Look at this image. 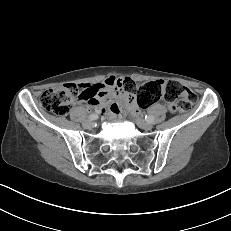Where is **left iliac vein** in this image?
Instances as JSON below:
<instances>
[{"instance_id": "1", "label": "left iliac vein", "mask_w": 231, "mask_h": 231, "mask_svg": "<svg viewBox=\"0 0 231 231\" xmlns=\"http://www.w3.org/2000/svg\"><path fill=\"white\" fill-rule=\"evenodd\" d=\"M137 124L139 127H141L142 129H145V130H151L153 127L151 123L146 122L143 119H137Z\"/></svg>"}]
</instances>
